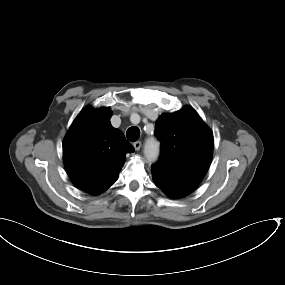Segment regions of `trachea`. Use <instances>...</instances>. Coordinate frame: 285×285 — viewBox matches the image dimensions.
Returning <instances> with one entry per match:
<instances>
[{
	"mask_svg": "<svg viewBox=\"0 0 285 285\" xmlns=\"http://www.w3.org/2000/svg\"><path fill=\"white\" fill-rule=\"evenodd\" d=\"M126 136L129 141H132V142L136 141L140 136L139 128L135 126L130 127L126 132Z\"/></svg>",
	"mask_w": 285,
	"mask_h": 285,
	"instance_id": "1",
	"label": "trachea"
}]
</instances>
